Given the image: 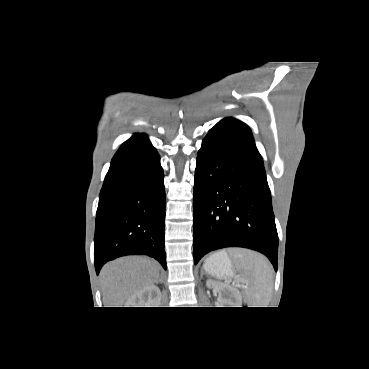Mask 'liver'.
Masks as SVG:
<instances>
[{
  "instance_id": "1",
  "label": "liver",
  "mask_w": 369,
  "mask_h": 369,
  "mask_svg": "<svg viewBox=\"0 0 369 369\" xmlns=\"http://www.w3.org/2000/svg\"><path fill=\"white\" fill-rule=\"evenodd\" d=\"M159 265L152 259L128 256L107 263L101 270L104 307H121L137 291L159 279Z\"/></svg>"
}]
</instances>
